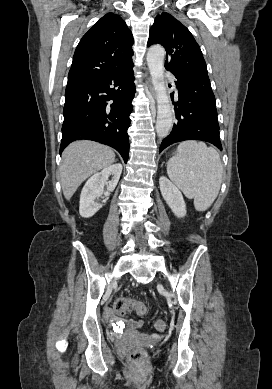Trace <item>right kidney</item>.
<instances>
[{
	"label": "right kidney",
	"mask_w": 272,
	"mask_h": 389,
	"mask_svg": "<svg viewBox=\"0 0 272 389\" xmlns=\"http://www.w3.org/2000/svg\"><path fill=\"white\" fill-rule=\"evenodd\" d=\"M121 173L122 165L114 164L88 179L80 195L79 213L83 218L92 217L102 207V203L97 200L102 197L104 186L107 185V190L112 192L119 181ZM110 176L111 180L108 181Z\"/></svg>",
	"instance_id": "1"
}]
</instances>
